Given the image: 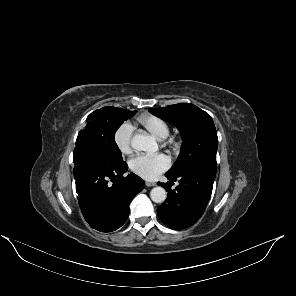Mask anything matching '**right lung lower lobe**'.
I'll return each instance as SVG.
<instances>
[{"mask_svg":"<svg viewBox=\"0 0 296 296\" xmlns=\"http://www.w3.org/2000/svg\"><path fill=\"white\" fill-rule=\"evenodd\" d=\"M73 162L78 203L85 220L101 232L121 227L129 216V204L143 190L144 181L134 173L123 177L128 169L126 162L114 164L86 144H76Z\"/></svg>","mask_w":296,"mask_h":296,"instance_id":"obj_1","label":"right lung lower lobe"}]
</instances>
